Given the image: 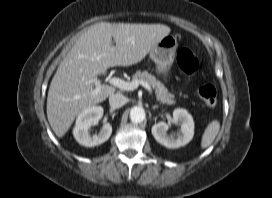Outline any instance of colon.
Wrapping results in <instances>:
<instances>
[{"label":"colon","instance_id":"5ec220e1","mask_svg":"<svg viewBox=\"0 0 272 198\" xmlns=\"http://www.w3.org/2000/svg\"><path fill=\"white\" fill-rule=\"evenodd\" d=\"M176 60L179 68L185 74L192 75L198 70V58L189 48H180L177 52ZM198 96L207 107H214L217 103V91L212 85H204L200 87L198 90Z\"/></svg>","mask_w":272,"mask_h":198}]
</instances>
